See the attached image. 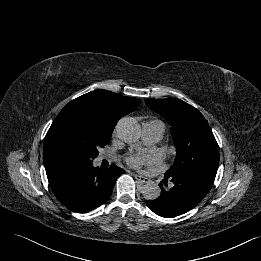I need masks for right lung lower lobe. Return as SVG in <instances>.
<instances>
[{"instance_id": "obj_1", "label": "right lung lower lobe", "mask_w": 261, "mask_h": 261, "mask_svg": "<svg viewBox=\"0 0 261 261\" xmlns=\"http://www.w3.org/2000/svg\"><path fill=\"white\" fill-rule=\"evenodd\" d=\"M125 171L115 165L102 171L92 162L46 170L50 188L68 209L78 213L102 205L111 195L116 179Z\"/></svg>"}]
</instances>
